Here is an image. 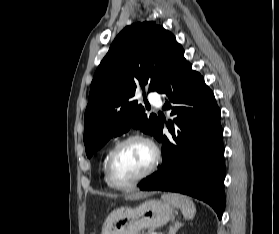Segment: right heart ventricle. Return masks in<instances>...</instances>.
Listing matches in <instances>:
<instances>
[{
	"label": "right heart ventricle",
	"mask_w": 279,
	"mask_h": 234,
	"mask_svg": "<svg viewBox=\"0 0 279 234\" xmlns=\"http://www.w3.org/2000/svg\"><path fill=\"white\" fill-rule=\"evenodd\" d=\"M110 150L105 154L103 161H102V171H103V176H104V181L105 183L110 187L111 185L108 183L107 179H106V174H105V168H106V162L108 159V156L110 154Z\"/></svg>",
	"instance_id": "right-heart-ventricle-1"
}]
</instances>
